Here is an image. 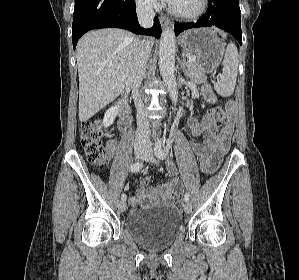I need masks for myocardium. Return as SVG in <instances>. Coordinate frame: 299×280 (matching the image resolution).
I'll return each mask as SVG.
<instances>
[{
  "instance_id": "obj_1",
  "label": "myocardium",
  "mask_w": 299,
  "mask_h": 280,
  "mask_svg": "<svg viewBox=\"0 0 299 280\" xmlns=\"http://www.w3.org/2000/svg\"><path fill=\"white\" fill-rule=\"evenodd\" d=\"M208 7V0H201V5L199 9L193 13H184L177 9H175L172 4H169V11L174 16L185 19V20H194L201 17L207 10Z\"/></svg>"
}]
</instances>
